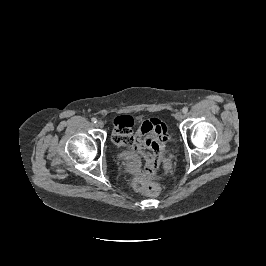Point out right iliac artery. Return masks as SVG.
Here are the masks:
<instances>
[{
    "mask_svg": "<svg viewBox=\"0 0 266 266\" xmlns=\"http://www.w3.org/2000/svg\"><path fill=\"white\" fill-rule=\"evenodd\" d=\"M91 121H92L93 123H97V119H96V118H92Z\"/></svg>",
    "mask_w": 266,
    "mask_h": 266,
    "instance_id": "1",
    "label": "right iliac artery"
}]
</instances>
